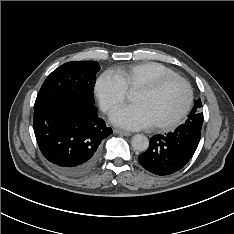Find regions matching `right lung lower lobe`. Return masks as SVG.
Wrapping results in <instances>:
<instances>
[{"mask_svg":"<svg viewBox=\"0 0 234 234\" xmlns=\"http://www.w3.org/2000/svg\"><path fill=\"white\" fill-rule=\"evenodd\" d=\"M34 132L43 156L67 175L90 170L99 145L112 129L97 108L73 100H57L34 109Z\"/></svg>","mask_w":234,"mask_h":234,"instance_id":"1","label":"right lung lower lobe"}]
</instances>
